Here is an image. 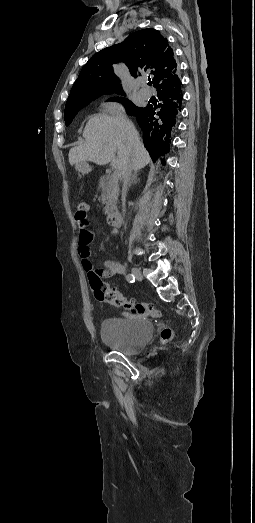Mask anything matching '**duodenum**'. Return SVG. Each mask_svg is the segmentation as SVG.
I'll return each instance as SVG.
<instances>
[{"label": "duodenum", "mask_w": 255, "mask_h": 523, "mask_svg": "<svg viewBox=\"0 0 255 523\" xmlns=\"http://www.w3.org/2000/svg\"><path fill=\"white\" fill-rule=\"evenodd\" d=\"M107 223L111 226V227H119L120 224H121V215L119 212L117 211H114V212H111L108 214L107 216Z\"/></svg>", "instance_id": "duodenum-1"}]
</instances>
